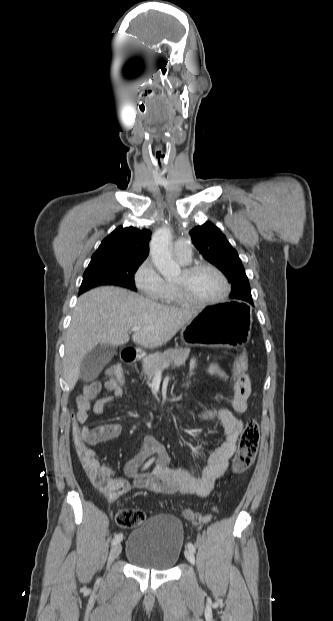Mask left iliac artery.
<instances>
[{
  "mask_svg": "<svg viewBox=\"0 0 333 621\" xmlns=\"http://www.w3.org/2000/svg\"><path fill=\"white\" fill-rule=\"evenodd\" d=\"M187 546H188L189 550H191L192 552H195V551H196V548H195V546H194V544H193V543L189 542V543L187 544Z\"/></svg>",
  "mask_w": 333,
  "mask_h": 621,
  "instance_id": "obj_1",
  "label": "left iliac artery"
}]
</instances>
